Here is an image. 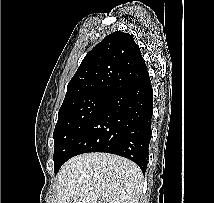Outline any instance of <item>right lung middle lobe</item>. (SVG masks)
I'll list each match as a JSON object with an SVG mask.
<instances>
[{"label": "right lung middle lobe", "instance_id": "right-lung-middle-lobe-1", "mask_svg": "<svg viewBox=\"0 0 214 203\" xmlns=\"http://www.w3.org/2000/svg\"><path fill=\"white\" fill-rule=\"evenodd\" d=\"M111 95L92 93L68 101L59 109L54 129V171L67 161L75 142L93 122Z\"/></svg>", "mask_w": 214, "mask_h": 203}]
</instances>
